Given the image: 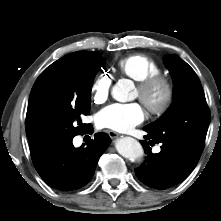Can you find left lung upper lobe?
I'll list each match as a JSON object with an SVG mask.
<instances>
[{
  "label": "left lung upper lobe",
  "instance_id": "5c2ea615",
  "mask_svg": "<svg viewBox=\"0 0 221 221\" xmlns=\"http://www.w3.org/2000/svg\"><path fill=\"white\" fill-rule=\"evenodd\" d=\"M174 81L173 103L157 121L146 126L155 142H175L202 153L210 111L194 70L177 55L165 57Z\"/></svg>",
  "mask_w": 221,
  "mask_h": 221
}]
</instances>
